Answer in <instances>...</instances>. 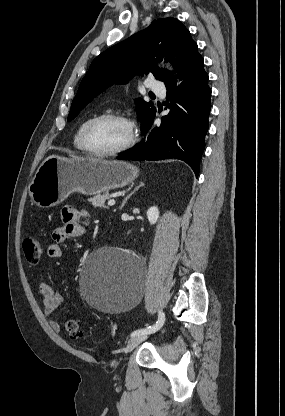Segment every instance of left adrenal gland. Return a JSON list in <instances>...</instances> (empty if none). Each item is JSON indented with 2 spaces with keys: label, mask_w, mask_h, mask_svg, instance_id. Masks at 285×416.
<instances>
[{
  "label": "left adrenal gland",
  "mask_w": 285,
  "mask_h": 416,
  "mask_svg": "<svg viewBox=\"0 0 285 416\" xmlns=\"http://www.w3.org/2000/svg\"><path fill=\"white\" fill-rule=\"evenodd\" d=\"M142 186H144V182H139V186H136L135 190H133V192H131V194H129V196H127V198H124L121 206H120V210H122V208H124L127 200H129V198H131L132 194H135V192H137V190H139V188H142Z\"/></svg>",
  "instance_id": "a2214340"
}]
</instances>
